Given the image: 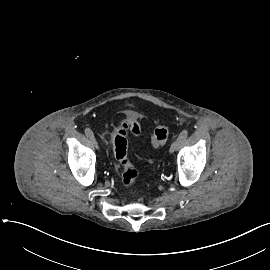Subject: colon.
<instances>
[{
  "mask_svg": "<svg viewBox=\"0 0 270 270\" xmlns=\"http://www.w3.org/2000/svg\"><path fill=\"white\" fill-rule=\"evenodd\" d=\"M128 132L135 136L142 132V126L138 118L127 117L118 122L112 136L114 154L121 172V183L126 189L132 190L138 184V171L128 156ZM170 133L171 129L168 125L156 126L149 137L150 147L162 146L167 141Z\"/></svg>",
  "mask_w": 270,
  "mask_h": 270,
  "instance_id": "1",
  "label": "colon"
}]
</instances>
